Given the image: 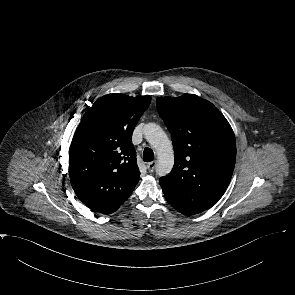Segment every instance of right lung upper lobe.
I'll return each instance as SVG.
<instances>
[{
	"label": "right lung upper lobe",
	"instance_id": "obj_1",
	"mask_svg": "<svg viewBox=\"0 0 295 295\" xmlns=\"http://www.w3.org/2000/svg\"><path fill=\"white\" fill-rule=\"evenodd\" d=\"M150 96L108 94L83 116L69 149V176L77 197L90 209L115 212L139 181L133 130Z\"/></svg>",
	"mask_w": 295,
	"mask_h": 295
}]
</instances>
